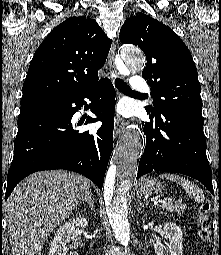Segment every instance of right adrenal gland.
I'll return each mask as SVG.
<instances>
[{
	"label": "right adrenal gland",
	"instance_id": "2a0ac1e0",
	"mask_svg": "<svg viewBox=\"0 0 221 255\" xmlns=\"http://www.w3.org/2000/svg\"><path fill=\"white\" fill-rule=\"evenodd\" d=\"M92 196H93V194H92L91 190H89L87 192L85 198L81 200L80 204H82V202H87L90 210L94 211V198Z\"/></svg>",
	"mask_w": 221,
	"mask_h": 255
}]
</instances>
